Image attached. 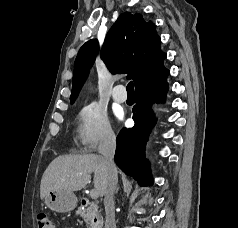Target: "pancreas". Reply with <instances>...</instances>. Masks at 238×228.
<instances>
[{
    "instance_id": "cf45deb5",
    "label": "pancreas",
    "mask_w": 238,
    "mask_h": 228,
    "mask_svg": "<svg viewBox=\"0 0 238 228\" xmlns=\"http://www.w3.org/2000/svg\"><path fill=\"white\" fill-rule=\"evenodd\" d=\"M77 214L81 215L84 219L87 228H101L100 221L94 222V220L98 217V206L96 203L92 202L87 208L79 207Z\"/></svg>"
}]
</instances>
